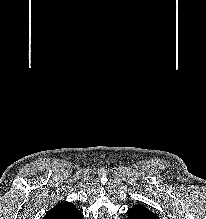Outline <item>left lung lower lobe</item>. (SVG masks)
<instances>
[{
	"mask_svg": "<svg viewBox=\"0 0 206 219\" xmlns=\"http://www.w3.org/2000/svg\"><path fill=\"white\" fill-rule=\"evenodd\" d=\"M128 219H159L152 211L143 205H135L127 212Z\"/></svg>",
	"mask_w": 206,
	"mask_h": 219,
	"instance_id": "obj_1",
	"label": "left lung lower lobe"
}]
</instances>
